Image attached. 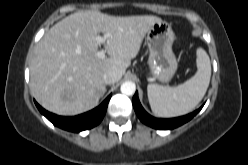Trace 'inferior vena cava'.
<instances>
[{"label": "inferior vena cava", "instance_id": "602c4592", "mask_svg": "<svg viewBox=\"0 0 248 165\" xmlns=\"http://www.w3.org/2000/svg\"><path fill=\"white\" fill-rule=\"evenodd\" d=\"M103 79L105 84H114L117 81L118 77L115 72L109 71L104 74Z\"/></svg>", "mask_w": 248, "mask_h": 165}]
</instances>
